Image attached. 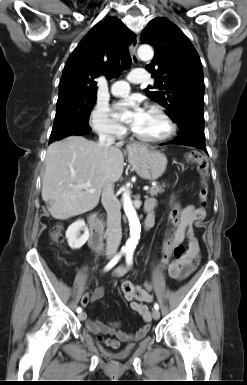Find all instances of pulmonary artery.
I'll use <instances>...</instances> for the list:
<instances>
[{
    "label": "pulmonary artery",
    "instance_id": "e3ab8cb5",
    "mask_svg": "<svg viewBox=\"0 0 247 385\" xmlns=\"http://www.w3.org/2000/svg\"><path fill=\"white\" fill-rule=\"evenodd\" d=\"M128 81L131 83L139 84V83H144L147 81L146 78V71L143 69H136L133 70L129 75H128ZM130 90L129 83L123 80H118L115 81L111 85V92L115 96H123L126 95Z\"/></svg>",
    "mask_w": 247,
    "mask_h": 385
}]
</instances>
